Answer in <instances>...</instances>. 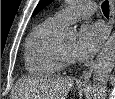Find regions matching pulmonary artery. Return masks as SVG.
<instances>
[{
	"mask_svg": "<svg viewBox=\"0 0 115 99\" xmlns=\"http://www.w3.org/2000/svg\"><path fill=\"white\" fill-rule=\"evenodd\" d=\"M96 11V5L93 2L76 1L70 6L57 12L51 20L60 25H67L81 18L88 17Z\"/></svg>",
	"mask_w": 115,
	"mask_h": 99,
	"instance_id": "1",
	"label": "pulmonary artery"
}]
</instances>
